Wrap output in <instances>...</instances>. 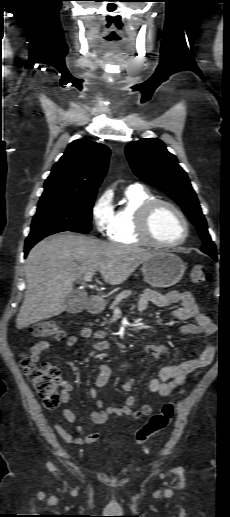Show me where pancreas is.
Returning <instances> with one entry per match:
<instances>
[{
	"mask_svg": "<svg viewBox=\"0 0 230 517\" xmlns=\"http://www.w3.org/2000/svg\"><path fill=\"white\" fill-rule=\"evenodd\" d=\"M132 291L131 290H124L122 291L121 293H119L117 295V297L115 298V300L112 302V304L110 305V309H114L117 305L120 304V302L123 300V299H126L127 297H129L130 295H132Z\"/></svg>",
	"mask_w": 230,
	"mask_h": 517,
	"instance_id": "cf45deb5",
	"label": "pancreas"
}]
</instances>
